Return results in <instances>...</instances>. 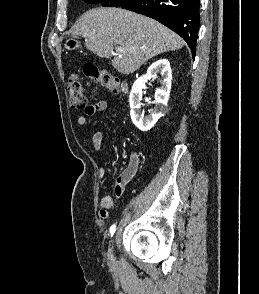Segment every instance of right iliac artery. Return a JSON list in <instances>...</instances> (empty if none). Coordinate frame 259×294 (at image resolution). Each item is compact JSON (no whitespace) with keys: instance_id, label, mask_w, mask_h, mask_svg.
I'll list each match as a JSON object with an SVG mask.
<instances>
[{"instance_id":"obj_1","label":"right iliac artery","mask_w":259,"mask_h":294,"mask_svg":"<svg viewBox=\"0 0 259 294\" xmlns=\"http://www.w3.org/2000/svg\"><path fill=\"white\" fill-rule=\"evenodd\" d=\"M115 231H116V225L114 224V225H112L110 227V235L113 236V234L115 233Z\"/></svg>"}]
</instances>
